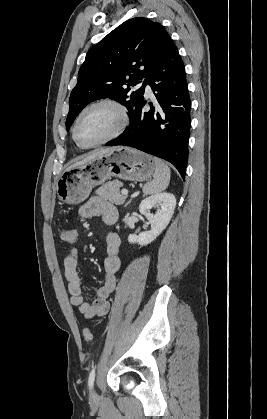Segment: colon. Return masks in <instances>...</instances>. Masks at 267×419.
<instances>
[{"label":"colon","mask_w":267,"mask_h":419,"mask_svg":"<svg viewBox=\"0 0 267 419\" xmlns=\"http://www.w3.org/2000/svg\"><path fill=\"white\" fill-rule=\"evenodd\" d=\"M77 235L72 229L63 228L61 230V239L67 244H75ZM92 331L89 328L83 329V338L85 341H90L92 339Z\"/></svg>","instance_id":"obj_1"}]
</instances>
